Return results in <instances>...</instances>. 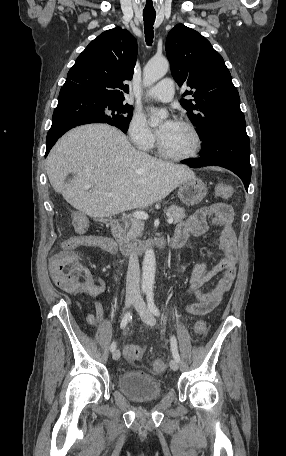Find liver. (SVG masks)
<instances>
[{"mask_svg": "<svg viewBox=\"0 0 286 456\" xmlns=\"http://www.w3.org/2000/svg\"><path fill=\"white\" fill-rule=\"evenodd\" d=\"M46 170L53 189L90 217L145 208L195 174L132 147L115 127L89 124L66 133L51 149ZM74 174L69 183L67 176Z\"/></svg>", "mask_w": 286, "mask_h": 456, "instance_id": "obj_1", "label": "liver"}]
</instances>
